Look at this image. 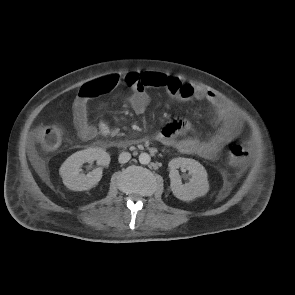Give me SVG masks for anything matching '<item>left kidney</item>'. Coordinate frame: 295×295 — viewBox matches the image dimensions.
I'll return each instance as SVG.
<instances>
[{
	"instance_id": "5707ae66",
	"label": "left kidney",
	"mask_w": 295,
	"mask_h": 295,
	"mask_svg": "<svg viewBox=\"0 0 295 295\" xmlns=\"http://www.w3.org/2000/svg\"><path fill=\"white\" fill-rule=\"evenodd\" d=\"M171 190L174 196L182 201H191L197 197L206 195L209 190L207 172L196 160L189 158H174L169 164ZM178 168H183L191 174L190 181L182 184Z\"/></svg>"
}]
</instances>
